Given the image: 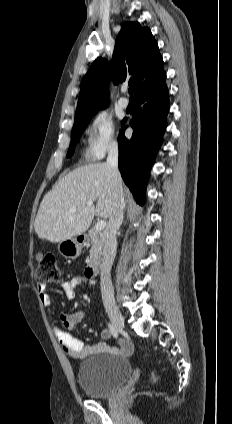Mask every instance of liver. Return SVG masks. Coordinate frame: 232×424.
I'll list each match as a JSON object with an SVG mask.
<instances>
[{
	"mask_svg": "<svg viewBox=\"0 0 232 424\" xmlns=\"http://www.w3.org/2000/svg\"><path fill=\"white\" fill-rule=\"evenodd\" d=\"M113 192L106 163L89 164L69 172L44 196L35 219L36 234L52 243L83 234L95 215L110 218ZM96 200V206L87 205ZM73 207L75 212L70 211Z\"/></svg>",
	"mask_w": 232,
	"mask_h": 424,
	"instance_id": "6515ba94",
	"label": "liver"
}]
</instances>
